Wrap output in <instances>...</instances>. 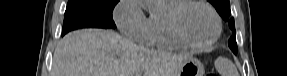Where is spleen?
I'll use <instances>...</instances> for the list:
<instances>
[{
	"label": "spleen",
	"instance_id": "3e777b00",
	"mask_svg": "<svg viewBox=\"0 0 287 76\" xmlns=\"http://www.w3.org/2000/svg\"><path fill=\"white\" fill-rule=\"evenodd\" d=\"M215 67L221 76H239L235 65L225 57H218L215 61Z\"/></svg>",
	"mask_w": 287,
	"mask_h": 76
}]
</instances>
